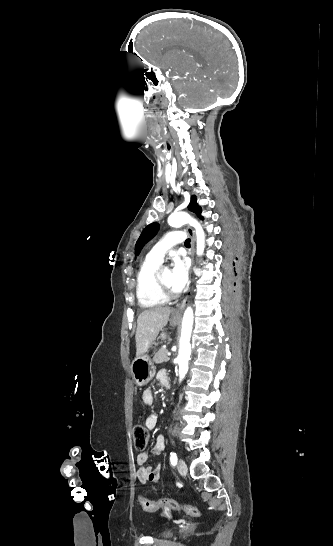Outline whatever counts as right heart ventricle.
<instances>
[{"mask_svg": "<svg viewBox=\"0 0 333 546\" xmlns=\"http://www.w3.org/2000/svg\"><path fill=\"white\" fill-rule=\"evenodd\" d=\"M160 265V262L146 258L138 272L136 296L139 304L144 308L157 307L167 302V299L158 293L155 284V277Z\"/></svg>", "mask_w": 333, "mask_h": 546, "instance_id": "1", "label": "right heart ventricle"}]
</instances>
